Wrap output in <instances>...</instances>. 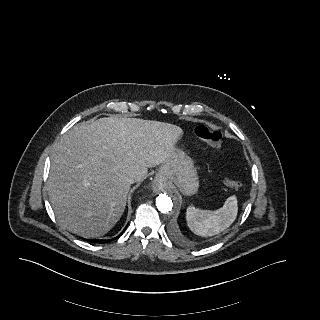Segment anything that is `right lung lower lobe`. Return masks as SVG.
<instances>
[{
    "label": "right lung lower lobe",
    "mask_w": 320,
    "mask_h": 320,
    "mask_svg": "<svg viewBox=\"0 0 320 320\" xmlns=\"http://www.w3.org/2000/svg\"><path fill=\"white\" fill-rule=\"evenodd\" d=\"M125 229H126V228H125ZM125 229L123 230V232L125 231ZM123 232H122V233H123ZM122 233H121V234H122ZM121 234H120V235H121ZM120 235H119V236H120ZM86 241L102 244V243H106V242L111 241V240H98V239H91V240H90V239H86Z\"/></svg>",
    "instance_id": "right-lung-lower-lobe-1"
}]
</instances>
